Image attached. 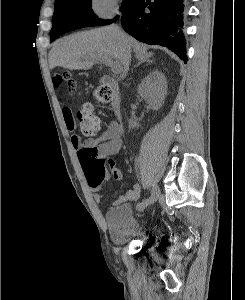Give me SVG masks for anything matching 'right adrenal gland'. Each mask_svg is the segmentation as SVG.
<instances>
[{
	"label": "right adrenal gland",
	"instance_id": "obj_1",
	"mask_svg": "<svg viewBox=\"0 0 245 300\" xmlns=\"http://www.w3.org/2000/svg\"><path fill=\"white\" fill-rule=\"evenodd\" d=\"M144 62H147L148 64H151V63H153V60L140 58V59H138V63L134 67H137V66L141 65Z\"/></svg>",
	"mask_w": 245,
	"mask_h": 300
}]
</instances>
